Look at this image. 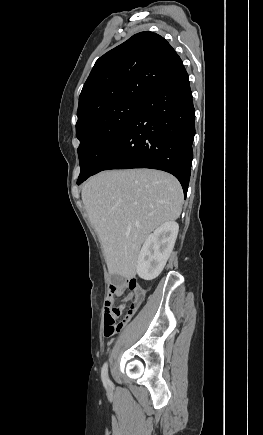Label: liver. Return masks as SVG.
<instances>
[{
  "label": "liver",
  "instance_id": "liver-1",
  "mask_svg": "<svg viewBox=\"0 0 263 435\" xmlns=\"http://www.w3.org/2000/svg\"><path fill=\"white\" fill-rule=\"evenodd\" d=\"M82 200L111 275L135 277L142 243L182 211L183 191L172 175L151 169L108 170L91 177Z\"/></svg>",
  "mask_w": 263,
  "mask_h": 435
}]
</instances>
